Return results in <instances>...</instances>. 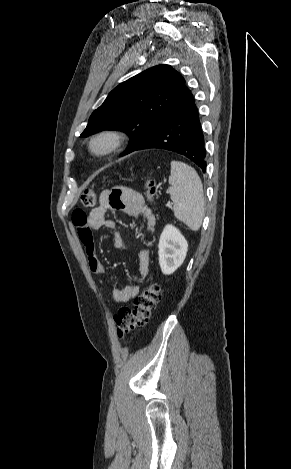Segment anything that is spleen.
Here are the masks:
<instances>
[{"mask_svg": "<svg viewBox=\"0 0 291 469\" xmlns=\"http://www.w3.org/2000/svg\"><path fill=\"white\" fill-rule=\"evenodd\" d=\"M169 184L174 216L192 231H197L205 213L203 185L199 175L188 164L172 161Z\"/></svg>", "mask_w": 291, "mask_h": 469, "instance_id": "spleen-1", "label": "spleen"}]
</instances>
